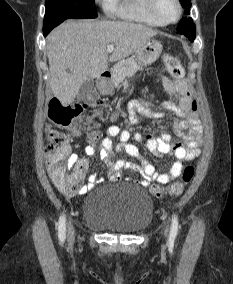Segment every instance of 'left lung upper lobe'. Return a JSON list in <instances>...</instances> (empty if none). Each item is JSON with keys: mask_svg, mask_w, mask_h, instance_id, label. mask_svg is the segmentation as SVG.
<instances>
[{"mask_svg": "<svg viewBox=\"0 0 233 284\" xmlns=\"http://www.w3.org/2000/svg\"><path fill=\"white\" fill-rule=\"evenodd\" d=\"M180 2L183 7H191V0H180ZM185 13L189 14L190 10L186 9ZM177 31L187 36L190 41L193 40L195 38L196 28L192 18H182L177 27Z\"/></svg>", "mask_w": 233, "mask_h": 284, "instance_id": "left-lung-upper-lobe-1", "label": "left lung upper lobe"}]
</instances>
